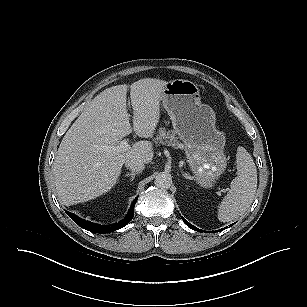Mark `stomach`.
<instances>
[{"label":"stomach","instance_id":"0dacf381","mask_svg":"<svg viewBox=\"0 0 307 307\" xmlns=\"http://www.w3.org/2000/svg\"><path fill=\"white\" fill-rule=\"evenodd\" d=\"M161 100L184 143L187 162L198 183L211 187L227 165L225 136L216 129L215 112L201 102L198 85L189 80L168 82Z\"/></svg>","mask_w":307,"mask_h":307}]
</instances>
